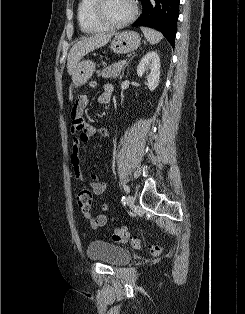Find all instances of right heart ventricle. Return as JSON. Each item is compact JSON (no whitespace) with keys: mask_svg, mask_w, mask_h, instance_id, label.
<instances>
[{"mask_svg":"<svg viewBox=\"0 0 245 314\" xmlns=\"http://www.w3.org/2000/svg\"><path fill=\"white\" fill-rule=\"evenodd\" d=\"M95 0H80L77 16L81 30L87 34L98 33L106 29L97 23L93 17L92 9Z\"/></svg>","mask_w":245,"mask_h":314,"instance_id":"obj_1","label":"right heart ventricle"}]
</instances>
